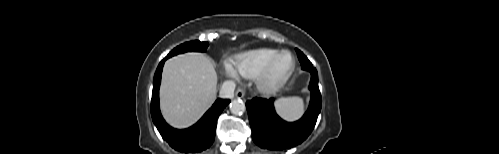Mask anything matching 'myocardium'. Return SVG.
Wrapping results in <instances>:
<instances>
[{"label":"myocardium","mask_w":499,"mask_h":154,"mask_svg":"<svg viewBox=\"0 0 499 154\" xmlns=\"http://www.w3.org/2000/svg\"><path fill=\"white\" fill-rule=\"evenodd\" d=\"M281 57H287L288 67L280 72H275V64ZM295 69V60L291 53L287 51L278 52L267 63L262 72L256 77L258 90L266 95H271L279 91L289 80Z\"/></svg>","instance_id":"1"}]
</instances>
